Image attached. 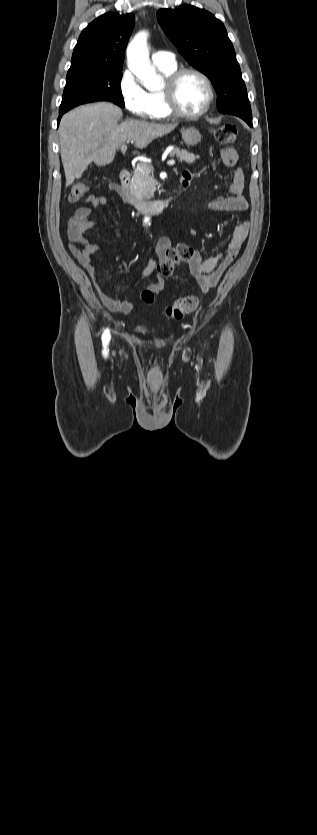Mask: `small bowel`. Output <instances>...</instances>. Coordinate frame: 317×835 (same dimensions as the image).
<instances>
[{"mask_svg":"<svg viewBox=\"0 0 317 835\" xmlns=\"http://www.w3.org/2000/svg\"><path fill=\"white\" fill-rule=\"evenodd\" d=\"M221 158L223 163L228 167L236 166L238 162V154L232 148H225L221 150ZM192 180V173L185 170L182 173V182L186 186ZM245 187V176L242 168H237L234 172L232 180L227 186L229 192L228 197L219 198L211 201L208 208L212 211H236L243 212L248 209V202L243 195ZM110 189L118 192L119 188L116 184H110ZM107 198L105 196L89 195L85 200L83 206L78 207L74 215L70 218L68 223V238L70 246L75 252L78 261L89 273L97 294L103 306L110 312L129 314L134 309V302L130 299H114L110 297L105 289L102 287L99 280L96 268L92 262V256L100 251L99 244L90 242L85 233L98 226L99 221L92 219V208L105 206ZM248 232L246 223L240 224L233 230L230 240L224 252L216 256L203 259L199 252L195 251L192 256L180 262L186 263L191 275L197 281L202 292H209L218 283L219 279L238 255L242 244L244 243ZM81 248H77V246ZM185 244H173L168 237L161 238L156 244L157 257L152 260L142 271L140 277L135 281L134 287L138 286L143 280L148 278L155 269H159V265L163 262H174L178 260V251L185 247ZM164 286V276L158 270L157 280L149 286L153 292H159Z\"/></svg>","mask_w":317,"mask_h":835,"instance_id":"obj_1","label":"small bowel"}]
</instances>
